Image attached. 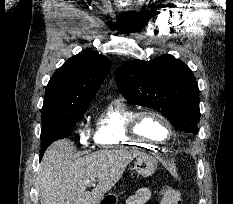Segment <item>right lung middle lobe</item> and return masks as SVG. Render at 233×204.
<instances>
[{
    "mask_svg": "<svg viewBox=\"0 0 233 204\" xmlns=\"http://www.w3.org/2000/svg\"><path fill=\"white\" fill-rule=\"evenodd\" d=\"M86 110L72 112L67 115L42 119V147L49 146L52 142L70 135L77 121H80Z\"/></svg>",
    "mask_w": 233,
    "mask_h": 204,
    "instance_id": "dd1d6c3e",
    "label": "right lung middle lobe"
}]
</instances>
